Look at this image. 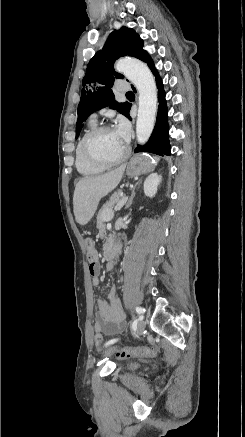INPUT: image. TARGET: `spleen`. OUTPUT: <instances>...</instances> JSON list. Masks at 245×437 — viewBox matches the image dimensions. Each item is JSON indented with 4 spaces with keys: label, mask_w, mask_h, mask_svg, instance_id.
Masks as SVG:
<instances>
[{
    "label": "spleen",
    "mask_w": 245,
    "mask_h": 437,
    "mask_svg": "<svg viewBox=\"0 0 245 437\" xmlns=\"http://www.w3.org/2000/svg\"><path fill=\"white\" fill-rule=\"evenodd\" d=\"M156 161H159V157H155Z\"/></svg>",
    "instance_id": "spleen-1"
}]
</instances>
